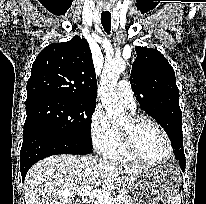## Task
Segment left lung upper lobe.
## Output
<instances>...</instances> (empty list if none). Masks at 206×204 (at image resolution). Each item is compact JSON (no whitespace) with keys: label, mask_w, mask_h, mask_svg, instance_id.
Instances as JSON below:
<instances>
[{"label":"left lung upper lobe","mask_w":206,"mask_h":204,"mask_svg":"<svg viewBox=\"0 0 206 204\" xmlns=\"http://www.w3.org/2000/svg\"><path fill=\"white\" fill-rule=\"evenodd\" d=\"M130 83L141 108L167 132L173 149L183 150L182 112L175 72L157 50L136 46Z\"/></svg>","instance_id":"obj_1"}]
</instances>
